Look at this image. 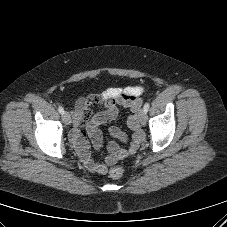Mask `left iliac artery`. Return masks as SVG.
<instances>
[{"label":"left iliac artery","mask_w":227,"mask_h":227,"mask_svg":"<svg viewBox=\"0 0 227 227\" xmlns=\"http://www.w3.org/2000/svg\"><path fill=\"white\" fill-rule=\"evenodd\" d=\"M149 107H150L149 103H148V102L145 103L143 109H144V111H145L146 113H147V111L149 110Z\"/></svg>","instance_id":"1"}]
</instances>
